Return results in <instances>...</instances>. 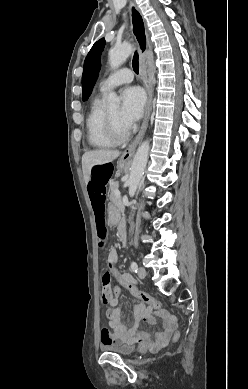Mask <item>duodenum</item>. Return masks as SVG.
Masks as SVG:
<instances>
[{
	"label": "duodenum",
	"instance_id": "duodenum-1",
	"mask_svg": "<svg viewBox=\"0 0 248 389\" xmlns=\"http://www.w3.org/2000/svg\"><path fill=\"white\" fill-rule=\"evenodd\" d=\"M119 237L122 243H125L126 241V233H125V227L123 223H120L119 225Z\"/></svg>",
	"mask_w": 248,
	"mask_h": 389
}]
</instances>
